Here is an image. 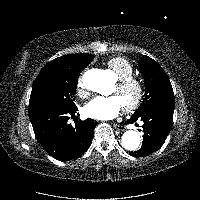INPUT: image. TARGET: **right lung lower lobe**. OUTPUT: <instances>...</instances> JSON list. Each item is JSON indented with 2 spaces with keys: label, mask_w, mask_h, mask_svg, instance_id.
I'll return each mask as SVG.
<instances>
[{
  "label": "right lung lower lobe",
  "mask_w": 200,
  "mask_h": 200,
  "mask_svg": "<svg viewBox=\"0 0 200 200\" xmlns=\"http://www.w3.org/2000/svg\"><path fill=\"white\" fill-rule=\"evenodd\" d=\"M76 111L75 106L29 113L36 139L56 159L78 158L91 145L96 121L90 118L79 120L72 126L68 120L75 117Z\"/></svg>",
  "instance_id": "1"
}]
</instances>
